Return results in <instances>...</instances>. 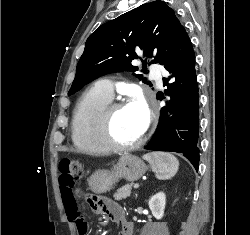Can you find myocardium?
<instances>
[{
    "instance_id": "f54148a6",
    "label": "myocardium",
    "mask_w": 250,
    "mask_h": 235,
    "mask_svg": "<svg viewBox=\"0 0 250 235\" xmlns=\"http://www.w3.org/2000/svg\"><path fill=\"white\" fill-rule=\"evenodd\" d=\"M129 106L125 101H111L101 111L98 120V136L100 141L111 151L125 152L139 147L146 139L143 132L141 136L131 143L117 142L111 132L112 121L116 112L122 108ZM150 119V118H149Z\"/></svg>"
}]
</instances>
